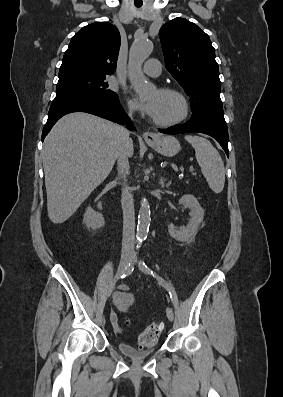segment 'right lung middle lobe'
<instances>
[{
	"mask_svg": "<svg viewBox=\"0 0 283 397\" xmlns=\"http://www.w3.org/2000/svg\"><path fill=\"white\" fill-rule=\"evenodd\" d=\"M106 76L68 73L59 76L56 97L84 96L107 103H119L118 95L108 88Z\"/></svg>",
	"mask_w": 283,
	"mask_h": 397,
	"instance_id": "obj_1",
	"label": "right lung middle lobe"
}]
</instances>
